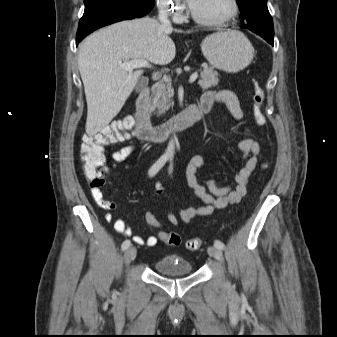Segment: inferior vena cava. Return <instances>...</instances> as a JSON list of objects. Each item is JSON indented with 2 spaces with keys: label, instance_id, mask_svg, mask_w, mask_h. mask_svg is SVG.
<instances>
[{
  "label": "inferior vena cava",
  "instance_id": "602c4592",
  "mask_svg": "<svg viewBox=\"0 0 337 337\" xmlns=\"http://www.w3.org/2000/svg\"><path fill=\"white\" fill-rule=\"evenodd\" d=\"M158 19L164 27L170 28V29L172 28L171 22L168 19L167 6L165 4L160 5Z\"/></svg>",
  "mask_w": 337,
  "mask_h": 337
}]
</instances>
